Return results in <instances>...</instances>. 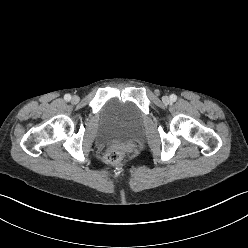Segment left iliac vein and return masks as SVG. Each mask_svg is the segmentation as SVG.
<instances>
[{"mask_svg":"<svg viewBox=\"0 0 248 248\" xmlns=\"http://www.w3.org/2000/svg\"><path fill=\"white\" fill-rule=\"evenodd\" d=\"M162 101H163L165 104H168V103L170 102V98H169L168 96H163Z\"/></svg>","mask_w":248,"mask_h":248,"instance_id":"4c4485c4","label":"left iliac vein"}]
</instances>
